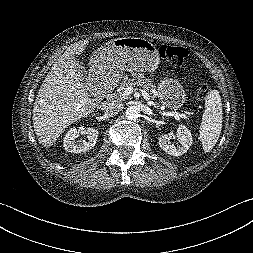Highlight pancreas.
<instances>
[{
	"instance_id": "obj_1",
	"label": "pancreas",
	"mask_w": 253,
	"mask_h": 253,
	"mask_svg": "<svg viewBox=\"0 0 253 253\" xmlns=\"http://www.w3.org/2000/svg\"><path fill=\"white\" fill-rule=\"evenodd\" d=\"M135 85L142 87L144 91L148 92L151 97L154 98V91L156 87L152 84V81L149 78L144 77L143 74H139L138 76H136V74H133V78H128V76H125L123 78L121 85L119 86L116 91V94L114 95L115 99L124 100L128 98L127 95H124L125 88ZM154 105L156 106L157 104Z\"/></svg>"
}]
</instances>
